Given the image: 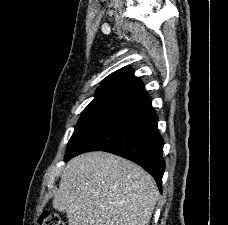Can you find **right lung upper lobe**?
Here are the masks:
<instances>
[{
  "label": "right lung upper lobe",
  "mask_w": 228,
  "mask_h": 225,
  "mask_svg": "<svg viewBox=\"0 0 228 225\" xmlns=\"http://www.w3.org/2000/svg\"><path fill=\"white\" fill-rule=\"evenodd\" d=\"M113 84H122L143 91V82L133 75V70L129 67H124L110 74L104 79L101 86Z\"/></svg>",
  "instance_id": "right-lung-upper-lobe-1"
}]
</instances>
